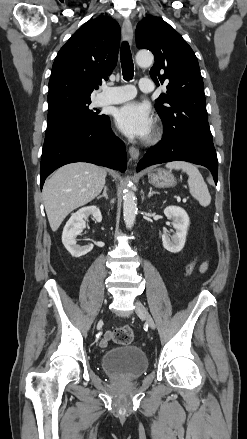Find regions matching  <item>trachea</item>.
Segmentation results:
<instances>
[{
  "label": "trachea",
  "mask_w": 247,
  "mask_h": 439,
  "mask_svg": "<svg viewBox=\"0 0 247 439\" xmlns=\"http://www.w3.org/2000/svg\"><path fill=\"white\" fill-rule=\"evenodd\" d=\"M120 59L124 79L127 81L131 80L134 75V64L129 44L127 42H123L121 45Z\"/></svg>",
  "instance_id": "3493384b"
}]
</instances>
